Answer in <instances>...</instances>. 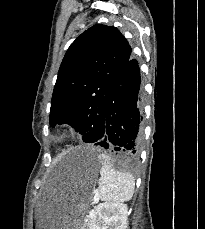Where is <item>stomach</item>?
Segmentation results:
<instances>
[{"mask_svg": "<svg viewBox=\"0 0 205 229\" xmlns=\"http://www.w3.org/2000/svg\"><path fill=\"white\" fill-rule=\"evenodd\" d=\"M80 166L86 181L85 194L81 201L69 206L63 196L39 198L32 210V229H82L87 204L92 200L91 185L99 169V159L95 152L79 149Z\"/></svg>", "mask_w": 205, "mask_h": 229, "instance_id": "stomach-1", "label": "stomach"}]
</instances>
